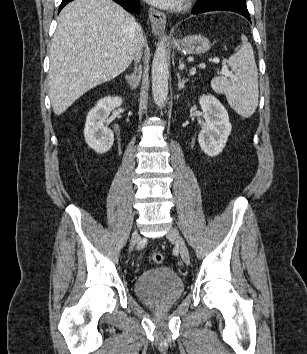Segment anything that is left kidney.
I'll use <instances>...</instances> for the list:
<instances>
[{
    "mask_svg": "<svg viewBox=\"0 0 307 354\" xmlns=\"http://www.w3.org/2000/svg\"><path fill=\"white\" fill-rule=\"evenodd\" d=\"M206 127L198 135L201 149L207 155H219L231 133V123L225 107L213 95H202L199 99Z\"/></svg>",
    "mask_w": 307,
    "mask_h": 354,
    "instance_id": "5707ae66",
    "label": "left kidney"
}]
</instances>
